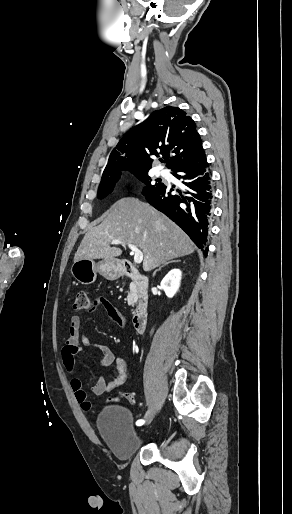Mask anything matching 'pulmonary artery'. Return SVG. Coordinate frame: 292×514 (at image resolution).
Returning <instances> with one entry per match:
<instances>
[{"mask_svg":"<svg viewBox=\"0 0 292 514\" xmlns=\"http://www.w3.org/2000/svg\"><path fill=\"white\" fill-rule=\"evenodd\" d=\"M159 174H160V175H162V176H164V175H165V173H164L163 171H161Z\"/></svg>","mask_w":292,"mask_h":514,"instance_id":"e3ab8cb5","label":"pulmonary artery"}]
</instances>
